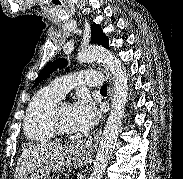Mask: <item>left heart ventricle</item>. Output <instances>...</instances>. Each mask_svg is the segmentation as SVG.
<instances>
[{
  "mask_svg": "<svg viewBox=\"0 0 183 179\" xmlns=\"http://www.w3.org/2000/svg\"><path fill=\"white\" fill-rule=\"evenodd\" d=\"M71 114L72 106L69 103H63L59 108V123L63 129L73 132Z\"/></svg>",
  "mask_w": 183,
  "mask_h": 179,
  "instance_id": "left-heart-ventricle-1",
  "label": "left heart ventricle"
}]
</instances>
